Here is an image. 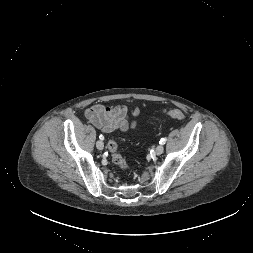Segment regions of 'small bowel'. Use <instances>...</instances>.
<instances>
[{
	"mask_svg": "<svg viewBox=\"0 0 253 253\" xmlns=\"http://www.w3.org/2000/svg\"><path fill=\"white\" fill-rule=\"evenodd\" d=\"M138 115V108L130 110L124 105L105 106L95 104L85 112L87 120L105 133L118 130L126 132L135 129L137 123L135 120H131L130 116L137 117Z\"/></svg>",
	"mask_w": 253,
	"mask_h": 253,
	"instance_id": "1",
	"label": "small bowel"
}]
</instances>
